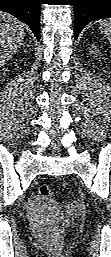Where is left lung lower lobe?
<instances>
[{"label": "left lung lower lobe", "mask_w": 111, "mask_h": 257, "mask_svg": "<svg viewBox=\"0 0 111 257\" xmlns=\"http://www.w3.org/2000/svg\"><path fill=\"white\" fill-rule=\"evenodd\" d=\"M75 38L91 21L111 17V0H75Z\"/></svg>", "instance_id": "obj_1"}]
</instances>
